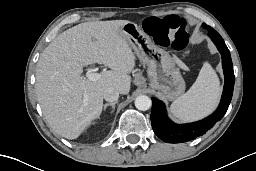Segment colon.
<instances>
[{
	"mask_svg": "<svg viewBox=\"0 0 256 171\" xmlns=\"http://www.w3.org/2000/svg\"><path fill=\"white\" fill-rule=\"evenodd\" d=\"M142 27L159 46L183 50L187 45L188 24L176 15L147 18Z\"/></svg>",
	"mask_w": 256,
	"mask_h": 171,
	"instance_id": "1",
	"label": "colon"
}]
</instances>
